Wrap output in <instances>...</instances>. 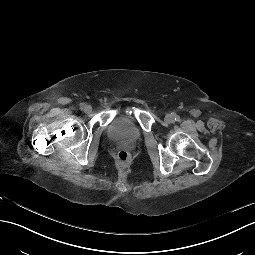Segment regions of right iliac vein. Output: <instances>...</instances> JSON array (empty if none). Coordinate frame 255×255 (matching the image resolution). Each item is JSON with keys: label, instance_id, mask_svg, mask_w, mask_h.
Instances as JSON below:
<instances>
[{"label": "right iliac vein", "instance_id": "1", "mask_svg": "<svg viewBox=\"0 0 255 255\" xmlns=\"http://www.w3.org/2000/svg\"><path fill=\"white\" fill-rule=\"evenodd\" d=\"M84 112L89 114L92 112V107L90 105H86L85 108H84Z\"/></svg>", "mask_w": 255, "mask_h": 255}]
</instances>
